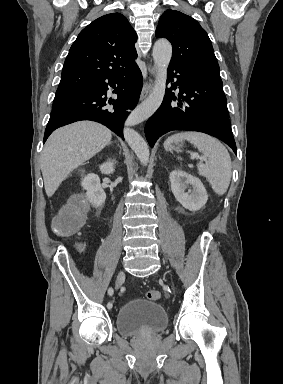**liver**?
<instances>
[{
    "label": "liver",
    "mask_w": 283,
    "mask_h": 384,
    "mask_svg": "<svg viewBox=\"0 0 283 384\" xmlns=\"http://www.w3.org/2000/svg\"><path fill=\"white\" fill-rule=\"evenodd\" d=\"M112 132L96 122H75L59 128L48 138L41 154V172L48 198L83 162L110 144Z\"/></svg>",
    "instance_id": "6515ba94"
}]
</instances>
